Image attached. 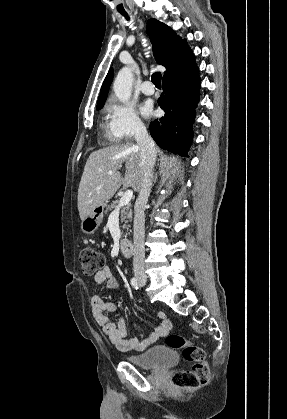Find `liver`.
I'll return each instance as SVG.
<instances>
[{
  "instance_id": "1",
  "label": "liver",
  "mask_w": 287,
  "mask_h": 419,
  "mask_svg": "<svg viewBox=\"0 0 287 419\" xmlns=\"http://www.w3.org/2000/svg\"><path fill=\"white\" fill-rule=\"evenodd\" d=\"M125 163V175L119 169ZM113 174L109 175L108 172ZM143 180L141 149L128 142L96 150L84 166L78 189V210L81 220L99 207L105 206L123 185L140 191Z\"/></svg>"
}]
</instances>
